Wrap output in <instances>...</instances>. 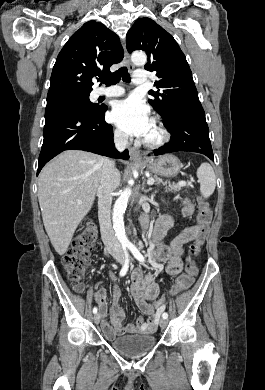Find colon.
<instances>
[{
	"mask_svg": "<svg viewBox=\"0 0 265 390\" xmlns=\"http://www.w3.org/2000/svg\"><path fill=\"white\" fill-rule=\"evenodd\" d=\"M199 212L197 214V222L205 225L211 217V209L208 202L200 198ZM97 239V229L94 224H89L87 227L76 236L66 254L62 258V265L65 270L68 281L77 292H82L85 289V274L91 260V251L95 246ZM203 243V238H198L190 247V254L196 257L200 251V246ZM197 273V268L193 264H189L182 274H180L175 284L171 289V294L176 295L182 290L188 288L194 276ZM167 299L161 297L153 304L157 312L165 309Z\"/></svg>",
	"mask_w": 265,
	"mask_h": 390,
	"instance_id": "obj_1",
	"label": "colon"
}]
</instances>
